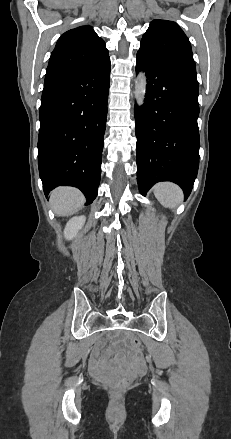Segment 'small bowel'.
I'll list each match as a JSON object with an SVG mask.
<instances>
[{
	"mask_svg": "<svg viewBox=\"0 0 231 439\" xmlns=\"http://www.w3.org/2000/svg\"><path fill=\"white\" fill-rule=\"evenodd\" d=\"M93 365H94V368L96 370H100V366H99V364L96 361L93 362Z\"/></svg>",
	"mask_w": 231,
	"mask_h": 439,
	"instance_id": "c3829d8e",
	"label": "small bowel"
}]
</instances>
